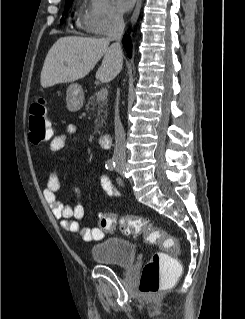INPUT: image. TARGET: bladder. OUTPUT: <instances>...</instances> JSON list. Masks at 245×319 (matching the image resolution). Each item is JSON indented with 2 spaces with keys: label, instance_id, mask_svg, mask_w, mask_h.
<instances>
[{
  "label": "bladder",
  "instance_id": "obj_1",
  "mask_svg": "<svg viewBox=\"0 0 245 319\" xmlns=\"http://www.w3.org/2000/svg\"><path fill=\"white\" fill-rule=\"evenodd\" d=\"M91 256L97 263L127 267L135 261L136 246L123 238H104L92 246Z\"/></svg>",
  "mask_w": 245,
  "mask_h": 319
}]
</instances>
